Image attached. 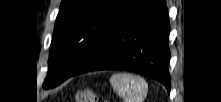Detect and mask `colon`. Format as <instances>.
I'll return each mask as SVG.
<instances>
[{"instance_id": "1", "label": "colon", "mask_w": 221, "mask_h": 102, "mask_svg": "<svg viewBox=\"0 0 221 102\" xmlns=\"http://www.w3.org/2000/svg\"><path fill=\"white\" fill-rule=\"evenodd\" d=\"M76 102H98L97 95L90 89L79 90L75 95Z\"/></svg>"}]
</instances>
